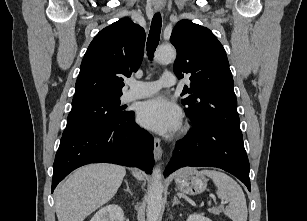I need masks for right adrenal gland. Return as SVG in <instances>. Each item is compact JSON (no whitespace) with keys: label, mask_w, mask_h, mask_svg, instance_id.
Instances as JSON below:
<instances>
[{"label":"right adrenal gland","mask_w":307,"mask_h":221,"mask_svg":"<svg viewBox=\"0 0 307 221\" xmlns=\"http://www.w3.org/2000/svg\"><path fill=\"white\" fill-rule=\"evenodd\" d=\"M125 183H126V192H128L132 195V192H131L130 187H129V183L127 181H125Z\"/></svg>","instance_id":"2a0ac1e0"}]
</instances>
